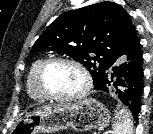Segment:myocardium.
I'll list each match as a JSON object with an SVG mask.
<instances>
[{"mask_svg":"<svg viewBox=\"0 0 153 134\" xmlns=\"http://www.w3.org/2000/svg\"><path fill=\"white\" fill-rule=\"evenodd\" d=\"M56 63H64L71 65L81 73L83 77V87L78 93L70 96H57L48 93L44 89L43 86L44 74L49 66ZM36 87L40 95L45 100L54 101V102H75L85 98L90 93L92 88V76L90 74V71L87 69V67L76 59L69 57H52L47 60H44V62L39 67L36 74Z\"/></svg>","mask_w":153,"mask_h":134,"instance_id":"obj_1","label":"myocardium"}]
</instances>
